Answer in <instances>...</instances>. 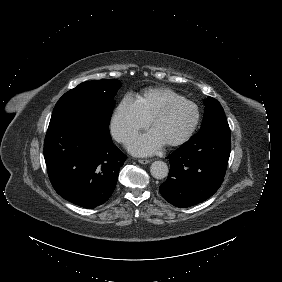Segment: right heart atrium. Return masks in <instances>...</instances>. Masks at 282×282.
Here are the masks:
<instances>
[{
  "label": "right heart atrium",
  "instance_id": "d8ad5b80",
  "mask_svg": "<svg viewBox=\"0 0 282 282\" xmlns=\"http://www.w3.org/2000/svg\"><path fill=\"white\" fill-rule=\"evenodd\" d=\"M149 123L150 119L137 101L131 96H126L113 114L111 131L118 141L127 142L135 133L147 128Z\"/></svg>",
  "mask_w": 282,
  "mask_h": 282
}]
</instances>
